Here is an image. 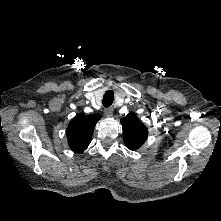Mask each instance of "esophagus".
I'll list each match as a JSON object with an SVG mask.
<instances>
[{"label":"esophagus","mask_w":221,"mask_h":221,"mask_svg":"<svg viewBox=\"0 0 221 221\" xmlns=\"http://www.w3.org/2000/svg\"><path fill=\"white\" fill-rule=\"evenodd\" d=\"M105 115L107 117H111L113 115V108L112 107H108L105 109Z\"/></svg>","instance_id":"1"}]
</instances>
